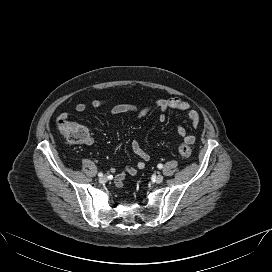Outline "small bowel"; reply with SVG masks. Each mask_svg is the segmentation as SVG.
I'll list each match as a JSON object with an SVG mask.
<instances>
[{"label":"small bowel","mask_w":272,"mask_h":272,"mask_svg":"<svg viewBox=\"0 0 272 272\" xmlns=\"http://www.w3.org/2000/svg\"><path fill=\"white\" fill-rule=\"evenodd\" d=\"M106 100L102 99H95L92 101L91 105L93 108H101L105 105H107ZM87 108V105L83 102H79L75 105V110L77 112H84ZM157 108L161 110L162 112H165L167 110L173 109V110H180V111H186L188 115V119L191 123V125L196 128L200 124V113L198 109L190 104L189 102L183 101L180 98H169L164 99L160 98L157 99L152 105L147 106L145 108L139 109L136 105L130 104V103H120L113 105L110 109L111 115H119L123 113H136L139 117L146 116L151 109ZM60 118L67 119L69 117V114L67 112H63L59 116ZM159 120L161 122L165 121V115H160ZM177 133L180 137H182L184 140L189 138V141L191 144L194 143L195 137L193 134H190L186 131V129L183 126L177 127ZM88 143H92V139L90 138ZM131 149L133 153L138 157V161L136 165H128L126 166L121 172H118L115 175V183L118 187H122L124 185V180L126 176H134L136 175L140 170L144 169L145 163L150 160V155L142 148L140 143L136 140L131 142ZM117 169L115 167L111 168V172L116 173Z\"/></svg>","instance_id":"c3829d8e"}]
</instances>
